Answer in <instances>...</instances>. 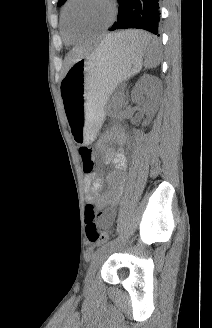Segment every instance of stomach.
<instances>
[{"mask_svg": "<svg viewBox=\"0 0 212 328\" xmlns=\"http://www.w3.org/2000/svg\"><path fill=\"white\" fill-rule=\"evenodd\" d=\"M118 40L114 34L105 37L95 51L71 65L62 79L66 119L78 143L94 140L110 95L142 67L145 52L123 47Z\"/></svg>", "mask_w": 212, "mask_h": 328, "instance_id": "stomach-1", "label": "stomach"}]
</instances>
